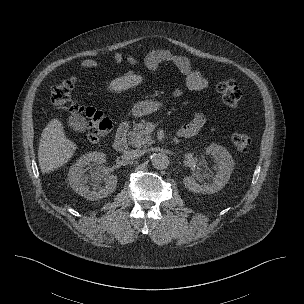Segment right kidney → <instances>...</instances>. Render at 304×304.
<instances>
[{"label":"right kidney","mask_w":304,"mask_h":304,"mask_svg":"<svg viewBox=\"0 0 304 304\" xmlns=\"http://www.w3.org/2000/svg\"><path fill=\"white\" fill-rule=\"evenodd\" d=\"M104 161L105 155L103 153L89 152L80 157L69 170L68 179L72 189L87 200L94 201L105 198L116 188L117 177L109 174L103 166L94 167L89 176L85 174L84 167L90 162L102 163Z\"/></svg>","instance_id":"obj_1"}]
</instances>
